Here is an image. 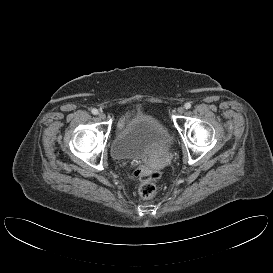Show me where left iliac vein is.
I'll list each match as a JSON object with an SVG mask.
<instances>
[{
    "instance_id": "4c4485c4",
    "label": "left iliac vein",
    "mask_w": 273,
    "mask_h": 273,
    "mask_svg": "<svg viewBox=\"0 0 273 273\" xmlns=\"http://www.w3.org/2000/svg\"><path fill=\"white\" fill-rule=\"evenodd\" d=\"M184 111H185V108L182 107V106H180V107L177 109V112H178L179 114H183Z\"/></svg>"
}]
</instances>
